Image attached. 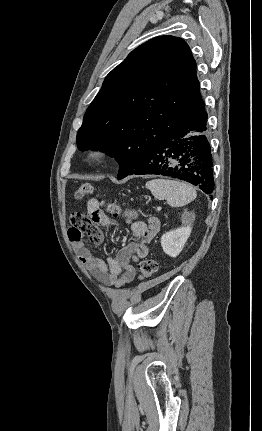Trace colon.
I'll return each mask as SVG.
<instances>
[{"mask_svg":"<svg viewBox=\"0 0 262 431\" xmlns=\"http://www.w3.org/2000/svg\"><path fill=\"white\" fill-rule=\"evenodd\" d=\"M94 188L90 183H82L75 192V196L78 200H84L93 195ZM100 203L106 205L107 212L118 217L121 215L123 209L122 206L116 202H106L103 198L100 199ZM79 218V214H72L70 220L72 224H76ZM158 269V264L154 259H144L140 261L137 265V275L138 278H150L152 277Z\"/></svg>","mask_w":262,"mask_h":431,"instance_id":"colon-1","label":"colon"}]
</instances>
